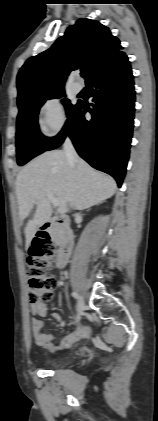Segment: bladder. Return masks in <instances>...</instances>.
Segmentation results:
<instances>
[{"instance_id":"31cf9c89","label":"bladder","mask_w":158,"mask_h":421,"mask_svg":"<svg viewBox=\"0 0 158 421\" xmlns=\"http://www.w3.org/2000/svg\"><path fill=\"white\" fill-rule=\"evenodd\" d=\"M65 364V362H63V361H59V362H55V363H53L52 365L53 366H62V365H64Z\"/></svg>"}]
</instances>
